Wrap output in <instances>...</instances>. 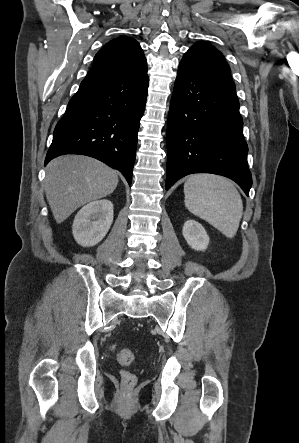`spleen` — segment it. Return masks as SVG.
Segmentation results:
<instances>
[{"instance_id":"obj_1","label":"spleen","mask_w":299,"mask_h":443,"mask_svg":"<svg viewBox=\"0 0 299 443\" xmlns=\"http://www.w3.org/2000/svg\"><path fill=\"white\" fill-rule=\"evenodd\" d=\"M185 206L225 236L236 235L243 214L241 196L226 178L199 174L184 184Z\"/></svg>"}]
</instances>
